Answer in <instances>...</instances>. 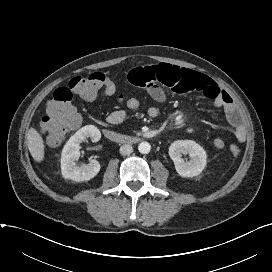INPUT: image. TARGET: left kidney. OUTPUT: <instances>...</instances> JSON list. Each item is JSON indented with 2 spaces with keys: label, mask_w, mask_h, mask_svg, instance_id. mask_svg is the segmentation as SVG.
Returning a JSON list of instances; mask_svg holds the SVG:
<instances>
[{
  "label": "left kidney",
  "mask_w": 272,
  "mask_h": 272,
  "mask_svg": "<svg viewBox=\"0 0 272 272\" xmlns=\"http://www.w3.org/2000/svg\"><path fill=\"white\" fill-rule=\"evenodd\" d=\"M187 153L191 157L189 161L182 158V154ZM169 156L174 162L177 173L182 177L198 176L206 166V151L193 140L174 141L169 147Z\"/></svg>",
  "instance_id": "5707ae66"
}]
</instances>
